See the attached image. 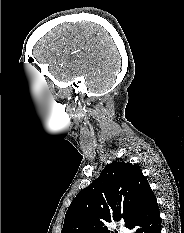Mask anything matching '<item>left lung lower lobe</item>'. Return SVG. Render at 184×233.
Instances as JSON below:
<instances>
[{"mask_svg":"<svg viewBox=\"0 0 184 233\" xmlns=\"http://www.w3.org/2000/svg\"><path fill=\"white\" fill-rule=\"evenodd\" d=\"M132 233H161V218L156 197L150 190L129 222Z\"/></svg>","mask_w":184,"mask_h":233,"instance_id":"obj_1","label":"left lung lower lobe"}]
</instances>
